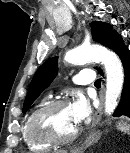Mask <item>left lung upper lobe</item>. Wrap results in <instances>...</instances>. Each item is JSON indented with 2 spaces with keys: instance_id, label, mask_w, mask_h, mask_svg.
Instances as JSON below:
<instances>
[{
  "instance_id": "5c2ea615",
  "label": "left lung upper lobe",
  "mask_w": 130,
  "mask_h": 153,
  "mask_svg": "<svg viewBox=\"0 0 130 153\" xmlns=\"http://www.w3.org/2000/svg\"><path fill=\"white\" fill-rule=\"evenodd\" d=\"M92 38L94 41L105 46L108 39L116 32L109 24L93 22L91 24ZM57 57L51 58L42 64L35 73L23 105V112H26L40 93L50 85L57 74Z\"/></svg>"
}]
</instances>
